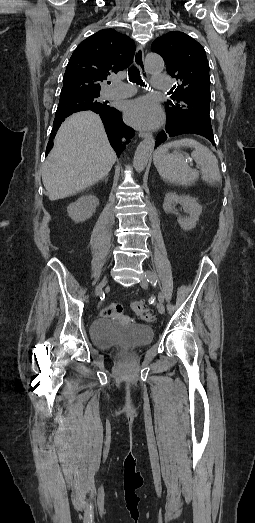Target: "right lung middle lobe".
I'll return each mask as SVG.
<instances>
[{
    "mask_svg": "<svg viewBox=\"0 0 255 523\" xmlns=\"http://www.w3.org/2000/svg\"><path fill=\"white\" fill-rule=\"evenodd\" d=\"M99 95V93L61 92L60 100L73 101L75 108L87 109L90 107V100H96Z\"/></svg>",
    "mask_w": 255,
    "mask_h": 523,
    "instance_id": "1",
    "label": "right lung middle lobe"
}]
</instances>
